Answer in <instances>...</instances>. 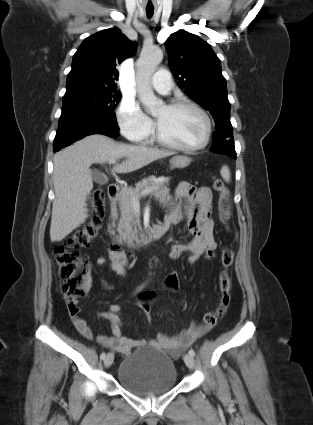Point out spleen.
Here are the masks:
<instances>
[{
  "mask_svg": "<svg viewBox=\"0 0 313 425\" xmlns=\"http://www.w3.org/2000/svg\"><path fill=\"white\" fill-rule=\"evenodd\" d=\"M220 173H221L222 178L226 182H230L231 174H230V170H229L227 165L222 166Z\"/></svg>",
  "mask_w": 313,
  "mask_h": 425,
  "instance_id": "1",
  "label": "spleen"
}]
</instances>
